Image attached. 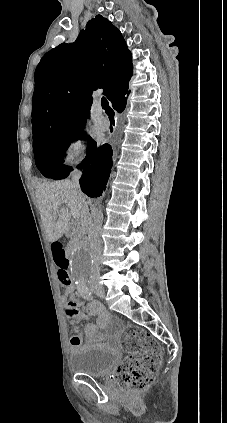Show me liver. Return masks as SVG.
<instances>
[{"label":"liver","mask_w":227,"mask_h":423,"mask_svg":"<svg viewBox=\"0 0 227 423\" xmlns=\"http://www.w3.org/2000/svg\"><path fill=\"white\" fill-rule=\"evenodd\" d=\"M35 194L37 208L49 241H57L64 233H70L72 229L70 208H74L79 213V223L81 225L84 223L83 202L86 196L80 192L79 188H76L72 180L44 182L37 186ZM88 221L91 223L90 219Z\"/></svg>","instance_id":"6515ba94"}]
</instances>
